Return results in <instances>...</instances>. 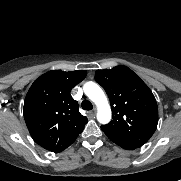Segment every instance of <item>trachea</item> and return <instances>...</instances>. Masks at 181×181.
<instances>
[{
    "instance_id": "1",
    "label": "trachea",
    "mask_w": 181,
    "mask_h": 181,
    "mask_svg": "<svg viewBox=\"0 0 181 181\" xmlns=\"http://www.w3.org/2000/svg\"><path fill=\"white\" fill-rule=\"evenodd\" d=\"M81 107L82 109L84 110H91L93 108V105L90 101L88 100H84L82 103H81Z\"/></svg>"
}]
</instances>
